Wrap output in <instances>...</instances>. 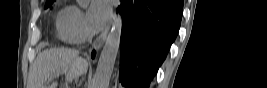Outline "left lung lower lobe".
<instances>
[{
    "label": "left lung lower lobe",
    "mask_w": 267,
    "mask_h": 88,
    "mask_svg": "<svg viewBox=\"0 0 267 88\" xmlns=\"http://www.w3.org/2000/svg\"><path fill=\"white\" fill-rule=\"evenodd\" d=\"M119 79L129 88H149L175 40L182 0H121Z\"/></svg>",
    "instance_id": "obj_1"
}]
</instances>
